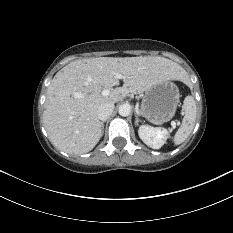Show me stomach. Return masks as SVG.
Here are the masks:
<instances>
[{"mask_svg": "<svg viewBox=\"0 0 233 233\" xmlns=\"http://www.w3.org/2000/svg\"><path fill=\"white\" fill-rule=\"evenodd\" d=\"M179 98L178 87L173 82L165 81L156 84L145 91L141 113L148 121L168 122L175 115Z\"/></svg>", "mask_w": 233, "mask_h": 233, "instance_id": "1", "label": "stomach"}]
</instances>
